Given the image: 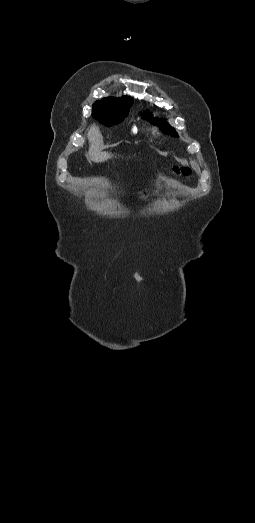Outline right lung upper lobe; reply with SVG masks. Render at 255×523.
<instances>
[{"label":"right lung upper lobe","mask_w":255,"mask_h":523,"mask_svg":"<svg viewBox=\"0 0 255 523\" xmlns=\"http://www.w3.org/2000/svg\"><path fill=\"white\" fill-rule=\"evenodd\" d=\"M121 102H133L131 98L122 96L120 98L115 97H107L103 98L102 100L96 101L93 106L96 105H102V104H114V103H121Z\"/></svg>","instance_id":"right-lung-upper-lobe-1"}]
</instances>
